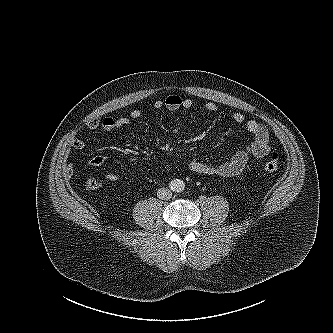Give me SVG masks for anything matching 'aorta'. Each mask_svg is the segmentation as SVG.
I'll use <instances>...</instances> for the list:
<instances>
[{
    "instance_id": "762f6f07",
    "label": "aorta",
    "mask_w": 333,
    "mask_h": 333,
    "mask_svg": "<svg viewBox=\"0 0 333 333\" xmlns=\"http://www.w3.org/2000/svg\"><path fill=\"white\" fill-rule=\"evenodd\" d=\"M172 186H173V190L176 192H181L185 188L184 182L180 179H176L175 181H173Z\"/></svg>"
}]
</instances>
